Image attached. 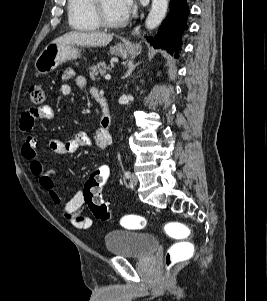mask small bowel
Listing matches in <instances>:
<instances>
[{
	"mask_svg": "<svg viewBox=\"0 0 267 301\" xmlns=\"http://www.w3.org/2000/svg\"><path fill=\"white\" fill-rule=\"evenodd\" d=\"M74 71L65 69L61 74L62 83L59 87L61 95L68 96L71 93L69 81L73 79ZM77 87L87 90L93 97L98 90L88 84L84 76H78L75 79ZM54 118L53 109L48 106L31 108L25 111L19 121V129L26 136L21 147L22 156L29 161L30 170L37 178L39 185L48 192L50 199L59 204L61 202L60 195L55 187L52 172L44 171L41 161L38 158L37 147L38 139L34 134V124L37 119L50 121ZM111 143V136L108 131L99 127L95 135V145L98 149L103 150ZM91 145V140L85 132H77L73 138L66 142L58 139H52L49 142L51 151L57 154H72L78 149ZM85 205L83 192L78 190L63 206L62 215L71 221L72 225L78 229H87L92 225V220L89 217L80 215Z\"/></svg>",
	"mask_w": 267,
	"mask_h": 301,
	"instance_id": "1",
	"label": "small bowel"
}]
</instances>
